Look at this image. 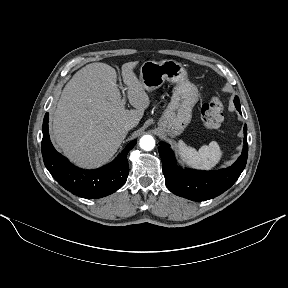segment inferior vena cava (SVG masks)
Wrapping results in <instances>:
<instances>
[{
  "instance_id": "obj_1",
  "label": "inferior vena cava",
  "mask_w": 288,
  "mask_h": 288,
  "mask_svg": "<svg viewBox=\"0 0 288 288\" xmlns=\"http://www.w3.org/2000/svg\"><path fill=\"white\" fill-rule=\"evenodd\" d=\"M137 125V123H136V121H134V120H128V121H126L125 122V124H124V129L125 130H131L133 127H135Z\"/></svg>"
}]
</instances>
